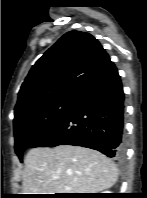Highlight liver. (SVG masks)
Wrapping results in <instances>:
<instances>
[{"label":"liver","mask_w":147,"mask_h":198,"mask_svg":"<svg viewBox=\"0 0 147 198\" xmlns=\"http://www.w3.org/2000/svg\"><path fill=\"white\" fill-rule=\"evenodd\" d=\"M24 163L23 194L98 193L118 179V169L109 158L80 146L33 148Z\"/></svg>","instance_id":"6515ba94"}]
</instances>
